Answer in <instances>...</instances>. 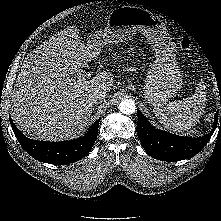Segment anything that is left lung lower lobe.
<instances>
[{"instance_id":"0a47b994","label":"left lung lower lobe","mask_w":221,"mask_h":221,"mask_svg":"<svg viewBox=\"0 0 221 221\" xmlns=\"http://www.w3.org/2000/svg\"><path fill=\"white\" fill-rule=\"evenodd\" d=\"M137 113L138 124L136 129L141 144L150 156L161 161H180L195 156L210 140L219 121L217 111L210 133L199 138H192L155 129L139 110H137Z\"/></svg>"}]
</instances>
